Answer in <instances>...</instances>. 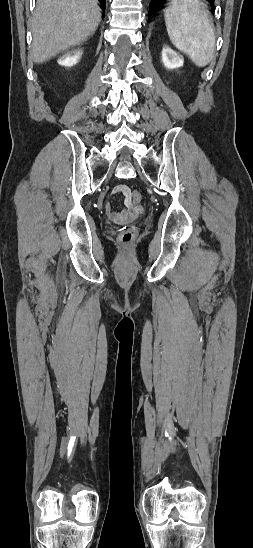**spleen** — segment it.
I'll return each instance as SVG.
<instances>
[{"label":"spleen","instance_id":"obj_1","mask_svg":"<svg viewBox=\"0 0 253 548\" xmlns=\"http://www.w3.org/2000/svg\"><path fill=\"white\" fill-rule=\"evenodd\" d=\"M171 42L198 67L214 57L215 33L206 5L200 0H172L164 10Z\"/></svg>","mask_w":253,"mask_h":548}]
</instances>
